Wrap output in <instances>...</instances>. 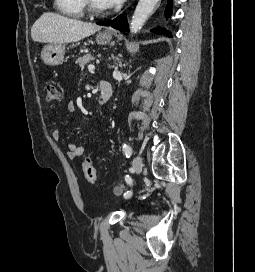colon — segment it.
Listing matches in <instances>:
<instances>
[{"label":"colon","instance_id":"obj_1","mask_svg":"<svg viewBox=\"0 0 255 272\" xmlns=\"http://www.w3.org/2000/svg\"><path fill=\"white\" fill-rule=\"evenodd\" d=\"M44 95L47 101H55L59 97V93L55 85L52 83H46L44 86ZM83 175L90 183L96 182V170L92 163V160L88 157L82 164Z\"/></svg>","mask_w":255,"mask_h":272}]
</instances>
